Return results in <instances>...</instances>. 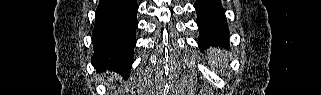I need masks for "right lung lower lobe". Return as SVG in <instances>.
<instances>
[{
    "label": "right lung lower lobe",
    "instance_id": "right-lung-lower-lobe-1",
    "mask_svg": "<svg viewBox=\"0 0 321 95\" xmlns=\"http://www.w3.org/2000/svg\"><path fill=\"white\" fill-rule=\"evenodd\" d=\"M136 0H100L93 30L92 65L128 76L138 25Z\"/></svg>",
    "mask_w": 321,
    "mask_h": 95
}]
</instances>
